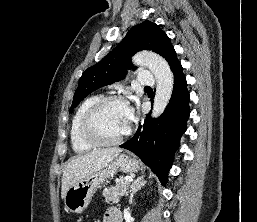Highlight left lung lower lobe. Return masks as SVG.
Masks as SVG:
<instances>
[{"instance_id": "left-lung-lower-lobe-1", "label": "left lung lower lobe", "mask_w": 257, "mask_h": 222, "mask_svg": "<svg viewBox=\"0 0 257 222\" xmlns=\"http://www.w3.org/2000/svg\"><path fill=\"white\" fill-rule=\"evenodd\" d=\"M170 68L174 74L173 92L169 104L157 119L147 115L134 136L119 147L135 153L158 176L163 185L167 183L173 157L186 131L190 114V96L181 63L175 60Z\"/></svg>"}]
</instances>
